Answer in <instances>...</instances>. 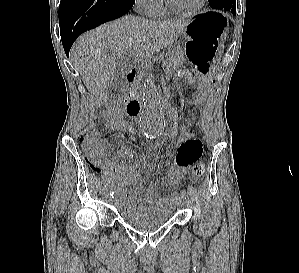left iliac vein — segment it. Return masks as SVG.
Listing matches in <instances>:
<instances>
[{
  "instance_id": "1",
  "label": "left iliac vein",
  "mask_w": 299,
  "mask_h": 273,
  "mask_svg": "<svg viewBox=\"0 0 299 273\" xmlns=\"http://www.w3.org/2000/svg\"><path fill=\"white\" fill-rule=\"evenodd\" d=\"M185 204H186L185 199L181 197V198L178 200V206H179V207H184Z\"/></svg>"
}]
</instances>
